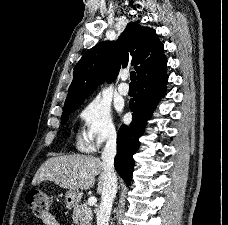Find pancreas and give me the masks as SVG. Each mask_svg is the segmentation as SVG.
Returning <instances> with one entry per match:
<instances>
[{"label": "pancreas", "instance_id": "cf45deb5", "mask_svg": "<svg viewBox=\"0 0 228 225\" xmlns=\"http://www.w3.org/2000/svg\"><path fill=\"white\" fill-rule=\"evenodd\" d=\"M74 225H91L93 219V211L86 205H76L73 209Z\"/></svg>", "mask_w": 228, "mask_h": 225}]
</instances>
